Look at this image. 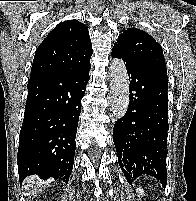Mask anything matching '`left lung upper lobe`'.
<instances>
[{
	"mask_svg": "<svg viewBox=\"0 0 196 201\" xmlns=\"http://www.w3.org/2000/svg\"><path fill=\"white\" fill-rule=\"evenodd\" d=\"M128 61L140 69L154 73L166 80L167 70L161 46L155 39L138 28H129L119 35L114 44Z\"/></svg>",
	"mask_w": 196,
	"mask_h": 201,
	"instance_id": "left-lung-upper-lobe-1",
	"label": "left lung upper lobe"
}]
</instances>
